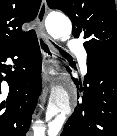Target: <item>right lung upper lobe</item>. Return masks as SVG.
<instances>
[{
  "mask_svg": "<svg viewBox=\"0 0 117 136\" xmlns=\"http://www.w3.org/2000/svg\"><path fill=\"white\" fill-rule=\"evenodd\" d=\"M41 0H0V52L10 49L32 35L22 25L35 19Z\"/></svg>",
  "mask_w": 117,
  "mask_h": 136,
  "instance_id": "right-lung-upper-lobe-1",
  "label": "right lung upper lobe"
}]
</instances>
